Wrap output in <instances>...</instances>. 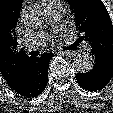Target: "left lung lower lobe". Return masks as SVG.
Instances as JSON below:
<instances>
[{"instance_id":"0a47b994","label":"left lung lower lobe","mask_w":113,"mask_h":113,"mask_svg":"<svg viewBox=\"0 0 113 113\" xmlns=\"http://www.w3.org/2000/svg\"><path fill=\"white\" fill-rule=\"evenodd\" d=\"M95 64L91 71L77 74L78 84L85 90L97 91L104 88L113 77V52L92 45Z\"/></svg>"}]
</instances>
